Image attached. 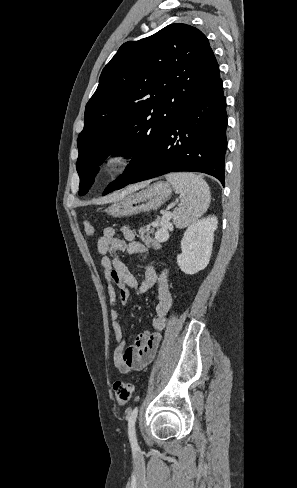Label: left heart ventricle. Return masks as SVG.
<instances>
[{
    "instance_id": "b2bd125f",
    "label": "left heart ventricle",
    "mask_w": 297,
    "mask_h": 488,
    "mask_svg": "<svg viewBox=\"0 0 297 488\" xmlns=\"http://www.w3.org/2000/svg\"><path fill=\"white\" fill-rule=\"evenodd\" d=\"M115 166H116V162H113V163L111 164V168H114Z\"/></svg>"
}]
</instances>
